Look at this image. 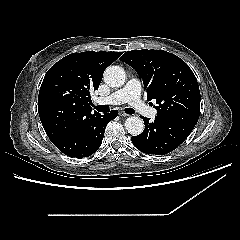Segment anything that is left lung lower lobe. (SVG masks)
Instances as JSON below:
<instances>
[{
	"label": "left lung lower lobe",
	"instance_id": "obj_1",
	"mask_svg": "<svg viewBox=\"0 0 240 240\" xmlns=\"http://www.w3.org/2000/svg\"><path fill=\"white\" fill-rule=\"evenodd\" d=\"M199 116L181 114L156 116L153 122L142 117L145 123L143 133L132 136L134 146L146 154L165 155L177 148L191 133Z\"/></svg>",
	"mask_w": 240,
	"mask_h": 240
}]
</instances>
